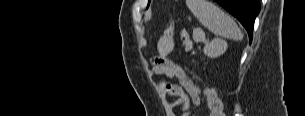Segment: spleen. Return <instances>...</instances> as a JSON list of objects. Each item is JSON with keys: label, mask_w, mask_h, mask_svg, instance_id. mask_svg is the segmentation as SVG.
I'll return each instance as SVG.
<instances>
[{"label": "spleen", "mask_w": 305, "mask_h": 116, "mask_svg": "<svg viewBox=\"0 0 305 116\" xmlns=\"http://www.w3.org/2000/svg\"><path fill=\"white\" fill-rule=\"evenodd\" d=\"M186 5L198 21L219 37L242 40L243 34L235 21L219 7L207 0H187ZM224 42L216 38L210 48Z\"/></svg>", "instance_id": "spleen-1"}]
</instances>
